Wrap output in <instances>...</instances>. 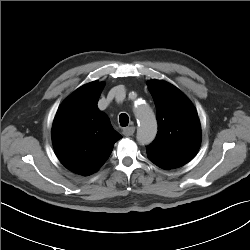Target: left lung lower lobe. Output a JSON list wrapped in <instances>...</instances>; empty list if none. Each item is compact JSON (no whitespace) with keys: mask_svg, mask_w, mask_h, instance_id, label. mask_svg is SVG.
I'll return each instance as SVG.
<instances>
[{"mask_svg":"<svg viewBox=\"0 0 250 250\" xmlns=\"http://www.w3.org/2000/svg\"><path fill=\"white\" fill-rule=\"evenodd\" d=\"M147 157L149 158L150 161H152L157 166H159L163 169H167V170L183 166L188 162L185 160H175V159L163 158V157L154 156V155H150V154H147Z\"/></svg>","mask_w":250,"mask_h":250,"instance_id":"obj_1","label":"left lung lower lobe"}]
</instances>
